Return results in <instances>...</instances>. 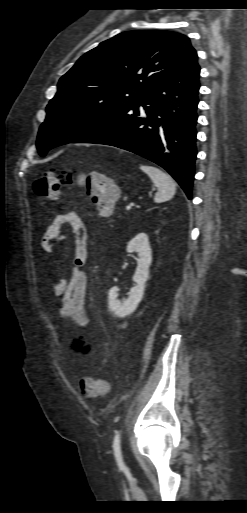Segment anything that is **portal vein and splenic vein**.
I'll use <instances>...</instances> for the list:
<instances>
[{"label":"portal vein and splenic vein","mask_w":247,"mask_h":513,"mask_svg":"<svg viewBox=\"0 0 247 513\" xmlns=\"http://www.w3.org/2000/svg\"><path fill=\"white\" fill-rule=\"evenodd\" d=\"M131 208H132V206L127 205L125 209H126V211H130V210H131Z\"/></svg>","instance_id":"18ae733b"}]
</instances>
